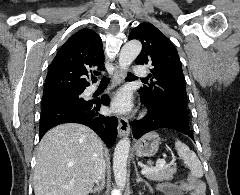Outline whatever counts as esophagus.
<instances>
[{
	"label": "esophagus",
	"instance_id": "34e87169",
	"mask_svg": "<svg viewBox=\"0 0 240 195\" xmlns=\"http://www.w3.org/2000/svg\"><path fill=\"white\" fill-rule=\"evenodd\" d=\"M123 79V73L120 70V68L116 65L114 68V80H116L118 83H121ZM130 128H129V122L126 117H119L118 120V135L120 137H124L126 135H129Z\"/></svg>",
	"mask_w": 240,
	"mask_h": 195
}]
</instances>
